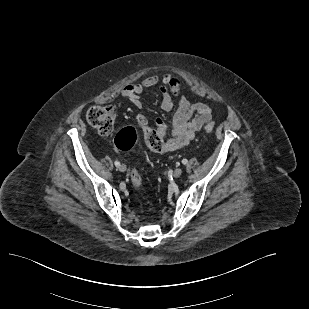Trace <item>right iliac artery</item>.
Masks as SVG:
<instances>
[{"instance_id": "obj_1", "label": "right iliac artery", "mask_w": 309, "mask_h": 309, "mask_svg": "<svg viewBox=\"0 0 309 309\" xmlns=\"http://www.w3.org/2000/svg\"><path fill=\"white\" fill-rule=\"evenodd\" d=\"M114 164H115L116 167L120 166V162L119 161H115Z\"/></svg>"}]
</instances>
